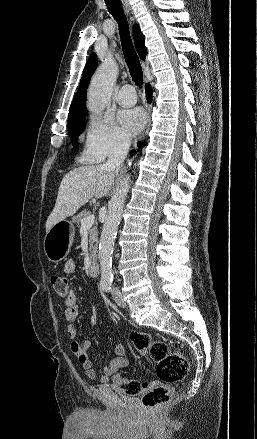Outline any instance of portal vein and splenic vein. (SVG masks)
Wrapping results in <instances>:
<instances>
[{
	"instance_id": "obj_1",
	"label": "portal vein and splenic vein",
	"mask_w": 257,
	"mask_h": 439,
	"mask_svg": "<svg viewBox=\"0 0 257 439\" xmlns=\"http://www.w3.org/2000/svg\"><path fill=\"white\" fill-rule=\"evenodd\" d=\"M94 215H89L88 217L82 219L81 228H90L94 224Z\"/></svg>"
}]
</instances>
